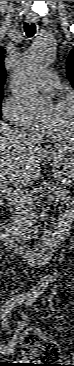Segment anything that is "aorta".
Listing matches in <instances>:
<instances>
[{
	"mask_svg": "<svg viewBox=\"0 0 74 366\" xmlns=\"http://www.w3.org/2000/svg\"><path fill=\"white\" fill-rule=\"evenodd\" d=\"M56 49L47 42H35L21 57L13 72L15 94L36 114L45 112L50 100L39 93L38 78L55 60Z\"/></svg>",
	"mask_w": 74,
	"mask_h": 366,
	"instance_id": "aorta-1",
	"label": "aorta"
}]
</instances>
